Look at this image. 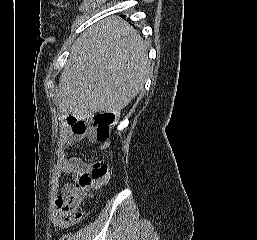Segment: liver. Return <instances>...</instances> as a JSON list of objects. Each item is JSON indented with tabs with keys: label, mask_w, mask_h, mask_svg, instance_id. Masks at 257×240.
Here are the masks:
<instances>
[{
	"label": "liver",
	"mask_w": 257,
	"mask_h": 240,
	"mask_svg": "<svg viewBox=\"0 0 257 240\" xmlns=\"http://www.w3.org/2000/svg\"><path fill=\"white\" fill-rule=\"evenodd\" d=\"M150 61L144 41L129 23L114 16L87 29L72 46L55 100L78 119L97 112L120 116L143 89Z\"/></svg>",
	"instance_id": "1"
}]
</instances>
